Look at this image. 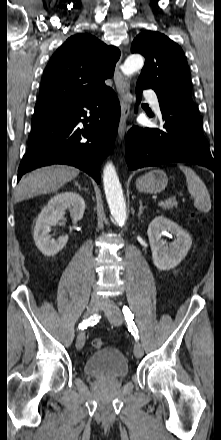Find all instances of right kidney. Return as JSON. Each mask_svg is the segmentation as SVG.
Returning a JSON list of instances; mask_svg holds the SVG:
<instances>
[{
    "mask_svg": "<svg viewBox=\"0 0 221 440\" xmlns=\"http://www.w3.org/2000/svg\"><path fill=\"white\" fill-rule=\"evenodd\" d=\"M67 209L70 210L73 222L81 220L85 211L84 199L78 193L70 191L56 194L38 216L33 237L37 248L46 256L57 254L68 241L67 236H60L55 240L49 234L50 228L64 217Z\"/></svg>",
    "mask_w": 221,
    "mask_h": 440,
    "instance_id": "1",
    "label": "right kidney"
}]
</instances>
